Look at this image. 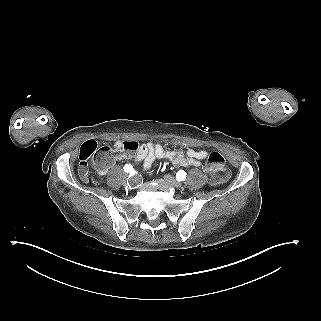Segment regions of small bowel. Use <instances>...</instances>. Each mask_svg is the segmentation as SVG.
Here are the masks:
<instances>
[{
	"label": "small bowel",
	"instance_id": "small-bowel-1",
	"mask_svg": "<svg viewBox=\"0 0 321 321\" xmlns=\"http://www.w3.org/2000/svg\"><path fill=\"white\" fill-rule=\"evenodd\" d=\"M88 152L90 155L100 152L108 158L107 161L99 163L96 166L97 173L101 176L107 174L110 168L119 160L132 157L134 153H129L123 149L121 141H115L113 148L104 146L97 151V143L95 140L84 142L80 148L81 156ZM208 153L204 150L188 149L187 151H167L159 143L149 142L140 145V148L134 155L136 164H141L143 169H148L156 160L167 159L176 166H200ZM82 178V177H81ZM87 181L88 178H82Z\"/></svg>",
	"mask_w": 321,
	"mask_h": 321
}]
</instances>
